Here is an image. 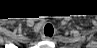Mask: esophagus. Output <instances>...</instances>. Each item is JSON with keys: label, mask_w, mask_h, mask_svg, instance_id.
Instances as JSON below:
<instances>
[{"label": "esophagus", "mask_w": 97, "mask_h": 48, "mask_svg": "<svg viewBox=\"0 0 97 48\" xmlns=\"http://www.w3.org/2000/svg\"><path fill=\"white\" fill-rule=\"evenodd\" d=\"M42 39H44V40H52L53 38L49 37V36H43Z\"/></svg>", "instance_id": "34e87169"}]
</instances>
